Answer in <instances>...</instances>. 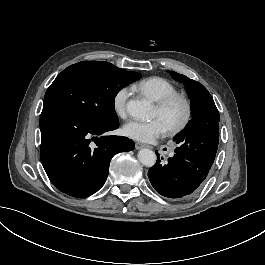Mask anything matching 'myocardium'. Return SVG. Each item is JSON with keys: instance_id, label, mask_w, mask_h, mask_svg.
I'll use <instances>...</instances> for the list:
<instances>
[{"instance_id": "myocardium-1", "label": "myocardium", "mask_w": 265, "mask_h": 265, "mask_svg": "<svg viewBox=\"0 0 265 265\" xmlns=\"http://www.w3.org/2000/svg\"><path fill=\"white\" fill-rule=\"evenodd\" d=\"M177 103L183 107L184 113L181 121L178 124L174 126H166V130L172 135L183 132L189 126L193 117V105L191 101L183 94L174 93L163 98L156 105L158 114L162 116L169 110L172 105Z\"/></svg>"}]
</instances>
